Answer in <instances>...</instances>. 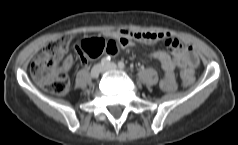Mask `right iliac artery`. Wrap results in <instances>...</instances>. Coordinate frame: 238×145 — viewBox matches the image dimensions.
<instances>
[{"label": "right iliac artery", "instance_id": "right-iliac-artery-1", "mask_svg": "<svg viewBox=\"0 0 238 145\" xmlns=\"http://www.w3.org/2000/svg\"><path fill=\"white\" fill-rule=\"evenodd\" d=\"M109 62H110V57H109V56L103 57V58L101 59V64H102V65H107Z\"/></svg>", "mask_w": 238, "mask_h": 145}]
</instances>
